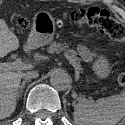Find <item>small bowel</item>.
I'll use <instances>...</instances> for the list:
<instances>
[{
	"label": "small bowel",
	"mask_w": 125,
	"mask_h": 125,
	"mask_svg": "<svg viewBox=\"0 0 125 125\" xmlns=\"http://www.w3.org/2000/svg\"><path fill=\"white\" fill-rule=\"evenodd\" d=\"M79 53L85 57L89 56V50L84 46L79 47Z\"/></svg>",
	"instance_id": "small-bowel-1"
}]
</instances>
